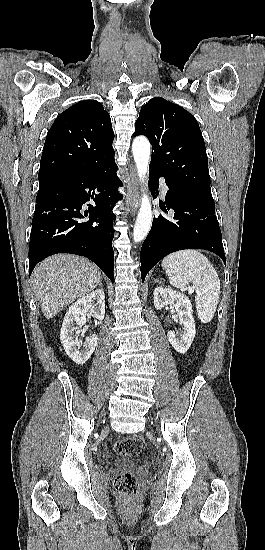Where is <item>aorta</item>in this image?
Listing matches in <instances>:
<instances>
[{
	"mask_svg": "<svg viewBox=\"0 0 265 550\" xmlns=\"http://www.w3.org/2000/svg\"><path fill=\"white\" fill-rule=\"evenodd\" d=\"M132 152L138 177L146 186V179L150 160V142L146 137H137L132 144ZM147 191V186L143 192ZM152 225V207L147 193H143L141 206L133 230V241L139 243L148 235Z\"/></svg>",
	"mask_w": 265,
	"mask_h": 550,
	"instance_id": "762f6f07",
	"label": "aorta"
}]
</instances>
